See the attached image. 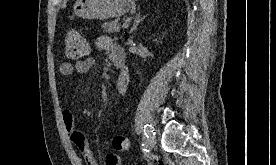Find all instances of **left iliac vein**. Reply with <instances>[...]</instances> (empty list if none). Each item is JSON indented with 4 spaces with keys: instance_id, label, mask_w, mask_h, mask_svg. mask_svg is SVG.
<instances>
[{
    "instance_id": "4c4485c4",
    "label": "left iliac vein",
    "mask_w": 276,
    "mask_h": 165,
    "mask_svg": "<svg viewBox=\"0 0 276 165\" xmlns=\"http://www.w3.org/2000/svg\"><path fill=\"white\" fill-rule=\"evenodd\" d=\"M155 131L153 132L152 136L149 138V145H155Z\"/></svg>"
}]
</instances>
